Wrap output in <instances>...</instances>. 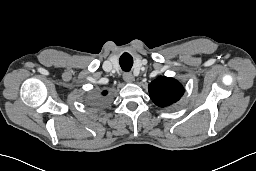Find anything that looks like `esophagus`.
<instances>
[{
	"label": "esophagus",
	"mask_w": 256,
	"mask_h": 171,
	"mask_svg": "<svg viewBox=\"0 0 256 171\" xmlns=\"http://www.w3.org/2000/svg\"><path fill=\"white\" fill-rule=\"evenodd\" d=\"M123 79L126 81V82H133L134 81V76L131 74V73H124L123 74Z\"/></svg>",
	"instance_id": "1"
}]
</instances>
